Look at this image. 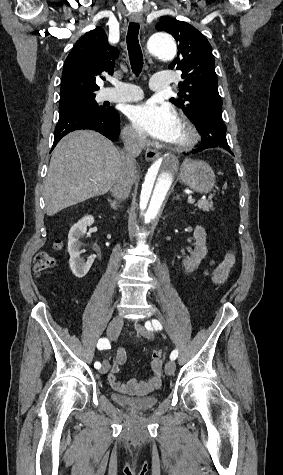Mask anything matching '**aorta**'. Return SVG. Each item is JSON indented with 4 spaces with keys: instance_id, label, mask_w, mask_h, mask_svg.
<instances>
[{
    "instance_id": "762f6f07",
    "label": "aorta",
    "mask_w": 283,
    "mask_h": 475,
    "mask_svg": "<svg viewBox=\"0 0 283 475\" xmlns=\"http://www.w3.org/2000/svg\"><path fill=\"white\" fill-rule=\"evenodd\" d=\"M147 49L153 56L163 61L174 59L177 48L172 36L166 33L153 34L147 43ZM179 166L178 158L165 154L148 169L142 184L135 225L144 230L155 225L174 183Z\"/></svg>"
}]
</instances>
